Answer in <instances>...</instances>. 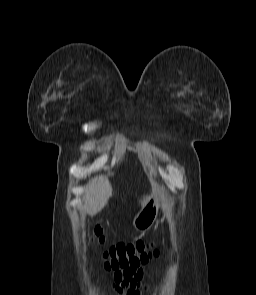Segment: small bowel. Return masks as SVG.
<instances>
[{"label": "small bowel", "mask_w": 256, "mask_h": 295, "mask_svg": "<svg viewBox=\"0 0 256 295\" xmlns=\"http://www.w3.org/2000/svg\"><path fill=\"white\" fill-rule=\"evenodd\" d=\"M144 270L123 269L113 273V287L119 295H140L147 290Z\"/></svg>", "instance_id": "c3829d8e"}]
</instances>
